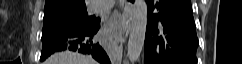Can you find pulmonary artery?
Instances as JSON below:
<instances>
[{"mask_svg": "<svg viewBox=\"0 0 242 64\" xmlns=\"http://www.w3.org/2000/svg\"><path fill=\"white\" fill-rule=\"evenodd\" d=\"M112 5V0H96L91 6V10L95 12H101L109 9Z\"/></svg>", "mask_w": 242, "mask_h": 64, "instance_id": "obj_1", "label": "pulmonary artery"}]
</instances>
